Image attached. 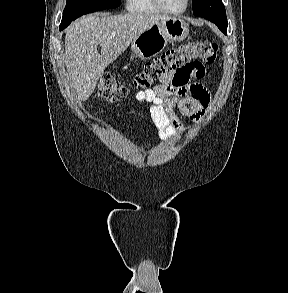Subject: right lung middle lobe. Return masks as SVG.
Instances as JSON below:
<instances>
[{
  "instance_id": "1",
  "label": "right lung middle lobe",
  "mask_w": 288,
  "mask_h": 293,
  "mask_svg": "<svg viewBox=\"0 0 288 293\" xmlns=\"http://www.w3.org/2000/svg\"><path fill=\"white\" fill-rule=\"evenodd\" d=\"M120 4V0H67L59 28H66L73 20L84 14L116 8Z\"/></svg>"
}]
</instances>
